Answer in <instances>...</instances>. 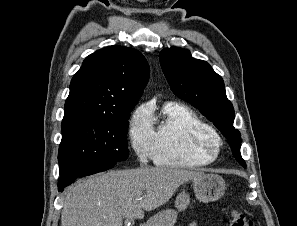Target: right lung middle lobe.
<instances>
[{
  "instance_id": "obj_1",
  "label": "right lung middle lobe",
  "mask_w": 297,
  "mask_h": 226,
  "mask_svg": "<svg viewBox=\"0 0 297 226\" xmlns=\"http://www.w3.org/2000/svg\"><path fill=\"white\" fill-rule=\"evenodd\" d=\"M134 105L121 117L73 118L62 121L59 146V173L94 164H116L126 160L128 117Z\"/></svg>"
}]
</instances>
